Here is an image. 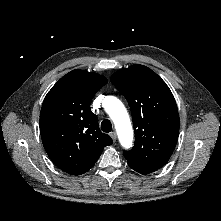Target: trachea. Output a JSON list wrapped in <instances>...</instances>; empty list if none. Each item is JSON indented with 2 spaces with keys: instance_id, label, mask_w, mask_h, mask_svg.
I'll list each match as a JSON object with an SVG mask.
<instances>
[{
  "instance_id": "1",
  "label": "trachea",
  "mask_w": 221,
  "mask_h": 221,
  "mask_svg": "<svg viewBox=\"0 0 221 221\" xmlns=\"http://www.w3.org/2000/svg\"><path fill=\"white\" fill-rule=\"evenodd\" d=\"M101 130L103 132H106V133L111 132L112 124H111L110 120L105 119V120L102 121V123H101Z\"/></svg>"
}]
</instances>
